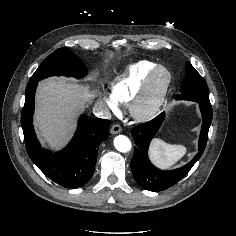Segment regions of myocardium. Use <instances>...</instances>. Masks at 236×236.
Listing matches in <instances>:
<instances>
[{"label":"myocardium","instance_id":"myocardium-1","mask_svg":"<svg viewBox=\"0 0 236 236\" xmlns=\"http://www.w3.org/2000/svg\"><path fill=\"white\" fill-rule=\"evenodd\" d=\"M164 73L165 79L160 91L151 97L152 84L158 74ZM172 82V75L168 68L157 65L145 78L136 95L130 101L131 116L141 122L149 121L157 115L165 102Z\"/></svg>","mask_w":236,"mask_h":236}]
</instances>
